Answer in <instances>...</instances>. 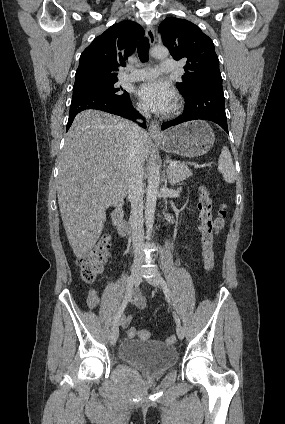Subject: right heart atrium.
<instances>
[{
	"label": "right heart atrium",
	"mask_w": 285,
	"mask_h": 424,
	"mask_svg": "<svg viewBox=\"0 0 285 424\" xmlns=\"http://www.w3.org/2000/svg\"><path fill=\"white\" fill-rule=\"evenodd\" d=\"M137 109H138V111L139 112H141V113H143L145 110H144V108H143V106L142 105H140V104H138L137 105Z\"/></svg>",
	"instance_id": "right-heart-atrium-1"
}]
</instances>
